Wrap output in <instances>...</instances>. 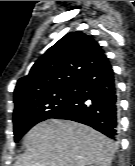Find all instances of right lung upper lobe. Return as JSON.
<instances>
[{
	"mask_svg": "<svg viewBox=\"0 0 135 166\" xmlns=\"http://www.w3.org/2000/svg\"><path fill=\"white\" fill-rule=\"evenodd\" d=\"M107 60L92 36L81 31L66 34L35 62L27 76L18 80L15 108L75 87L79 79Z\"/></svg>",
	"mask_w": 135,
	"mask_h": 166,
	"instance_id": "right-lung-upper-lobe-1",
	"label": "right lung upper lobe"
}]
</instances>
